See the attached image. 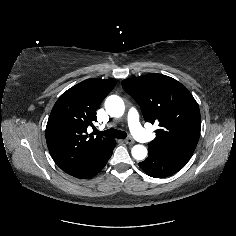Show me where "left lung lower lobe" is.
<instances>
[{"mask_svg": "<svg viewBox=\"0 0 236 236\" xmlns=\"http://www.w3.org/2000/svg\"><path fill=\"white\" fill-rule=\"evenodd\" d=\"M192 155L163 154L149 151V156L139 163L141 169L154 178H164L178 172Z\"/></svg>", "mask_w": 236, "mask_h": 236, "instance_id": "1", "label": "left lung lower lobe"}]
</instances>
